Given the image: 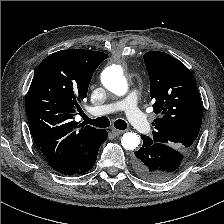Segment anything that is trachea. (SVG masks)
<instances>
[{"instance_id": "obj_1", "label": "trachea", "mask_w": 224, "mask_h": 224, "mask_svg": "<svg viewBox=\"0 0 224 224\" xmlns=\"http://www.w3.org/2000/svg\"><path fill=\"white\" fill-rule=\"evenodd\" d=\"M81 116L84 119L85 124H90L100 128H106L110 125L109 119L105 116L98 117L96 119H90L84 113H82ZM114 127L119 130H125L127 128V123L124 120L118 119L114 122Z\"/></svg>"}]
</instances>
